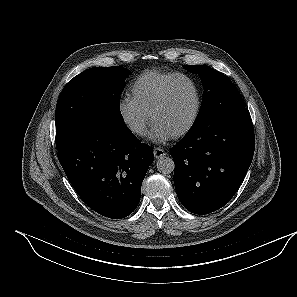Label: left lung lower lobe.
Listing matches in <instances>:
<instances>
[{
    "label": "left lung lower lobe",
    "instance_id": "obj_1",
    "mask_svg": "<svg viewBox=\"0 0 297 297\" xmlns=\"http://www.w3.org/2000/svg\"><path fill=\"white\" fill-rule=\"evenodd\" d=\"M254 147L253 124L245 107L190 129L170 150L180 202L196 214H208L223 207L245 178Z\"/></svg>",
    "mask_w": 297,
    "mask_h": 297
}]
</instances>
